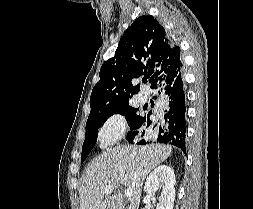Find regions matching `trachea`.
Instances as JSON below:
<instances>
[{
    "instance_id": "3493384b",
    "label": "trachea",
    "mask_w": 253,
    "mask_h": 209,
    "mask_svg": "<svg viewBox=\"0 0 253 209\" xmlns=\"http://www.w3.org/2000/svg\"><path fill=\"white\" fill-rule=\"evenodd\" d=\"M143 82H147V79L145 78V79H143Z\"/></svg>"
}]
</instances>
